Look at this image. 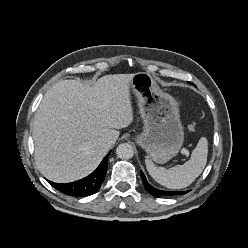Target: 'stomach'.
Wrapping results in <instances>:
<instances>
[{
  "label": "stomach",
  "mask_w": 248,
  "mask_h": 248,
  "mask_svg": "<svg viewBox=\"0 0 248 248\" xmlns=\"http://www.w3.org/2000/svg\"><path fill=\"white\" fill-rule=\"evenodd\" d=\"M131 88L138 99L144 122L137 143L147 152L151 161L164 164L180 150L184 141L183 126L177 100L163 92L147 72L134 74Z\"/></svg>",
  "instance_id": "obj_1"
}]
</instances>
